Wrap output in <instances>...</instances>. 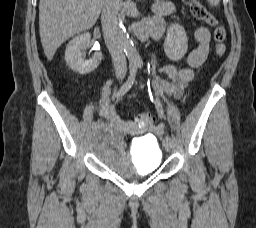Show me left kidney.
<instances>
[{
	"mask_svg": "<svg viewBox=\"0 0 256 228\" xmlns=\"http://www.w3.org/2000/svg\"><path fill=\"white\" fill-rule=\"evenodd\" d=\"M188 49V39L184 28L178 24L168 27L164 41L166 56L172 61L181 60Z\"/></svg>",
	"mask_w": 256,
	"mask_h": 228,
	"instance_id": "left-kidney-1",
	"label": "left kidney"
}]
</instances>
